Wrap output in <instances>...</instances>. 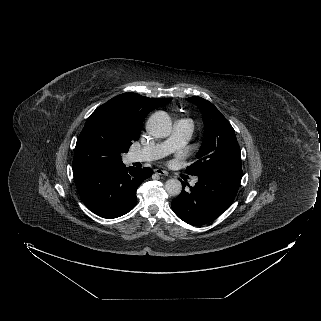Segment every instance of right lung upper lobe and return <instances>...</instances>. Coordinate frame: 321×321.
<instances>
[{
    "label": "right lung upper lobe",
    "instance_id": "cb5924a9",
    "mask_svg": "<svg viewBox=\"0 0 321 321\" xmlns=\"http://www.w3.org/2000/svg\"><path fill=\"white\" fill-rule=\"evenodd\" d=\"M170 101L169 98L155 99L136 93H123L99 106L92 114L108 117L133 142L139 139L142 123L148 113Z\"/></svg>",
    "mask_w": 321,
    "mask_h": 321
}]
</instances>
